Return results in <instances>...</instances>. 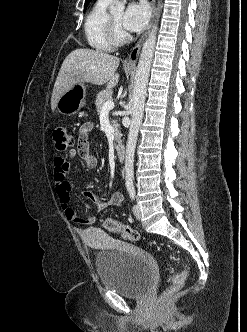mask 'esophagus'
<instances>
[{"mask_svg":"<svg viewBox=\"0 0 247 332\" xmlns=\"http://www.w3.org/2000/svg\"><path fill=\"white\" fill-rule=\"evenodd\" d=\"M150 4H151V7H152L151 22H150L149 26L147 27L146 31L144 32V34L140 37V39L138 40L136 45L133 47V49L130 52L127 59L124 61L125 66L134 67L136 65L141 47L143 45V42H144L145 38L147 37V35L150 32V29H151V26L153 24V20H154V17H155V12H156V0H150Z\"/></svg>","mask_w":247,"mask_h":332,"instance_id":"34e87169","label":"esophagus"}]
</instances>
